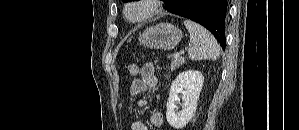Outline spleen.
Listing matches in <instances>:
<instances>
[{
    "instance_id": "3e777b00",
    "label": "spleen",
    "mask_w": 299,
    "mask_h": 130,
    "mask_svg": "<svg viewBox=\"0 0 299 130\" xmlns=\"http://www.w3.org/2000/svg\"><path fill=\"white\" fill-rule=\"evenodd\" d=\"M184 25L190 34L189 58L195 61L217 60L220 56V47L214 36L203 26L191 20H185Z\"/></svg>"
}]
</instances>
